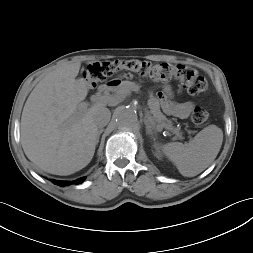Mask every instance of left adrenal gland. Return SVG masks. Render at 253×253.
Segmentation results:
<instances>
[{"instance_id":"a2214340","label":"left adrenal gland","mask_w":253,"mask_h":253,"mask_svg":"<svg viewBox=\"0 0 253 253\" xmlns=\"http://www.w3.org/2000/svg\"><path fill=\"white\" fill-rule=\"evenodd\" d=\"M144 124L146 126V133L152 135L153 130L155 129L153 122L149 119L144 118Z\"/></svg>"}]
</instances>
